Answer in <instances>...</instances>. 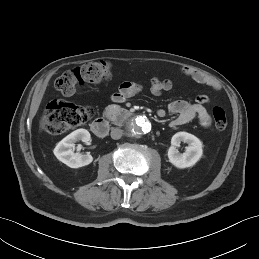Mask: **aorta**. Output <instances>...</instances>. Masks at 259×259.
Here are the masks:
<instances>
[{
    "label": "aorta",
    "instance_id": "762f6f07",
    "mask_svg": "<svg viewBox=\"0 0 259 259\" xmlns=\"http://www.w3.org/2000/svg\"><path fill=\"white\" fill-rule=\"evenodd\" d=\"M128 128L132 135L141 136L150 132L151 123L146 117L138 116L130 121Z\"/></svg>",
    "mask_w": 259,
    "mask_h": 259
}]
</instances>
